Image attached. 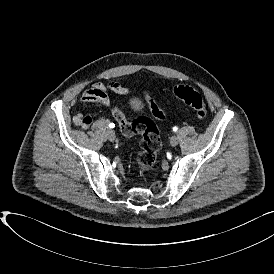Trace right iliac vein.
Listing matches in <instances>:
<instances>
[{
  "mask_svg": "<svg viewBox=\"0 0 274 274\" xmlns=\"http://www.w3.org/2000/svg\"><path fill=\"white\" fill-rule=\"evenodd\" d=\"M107 137L110 141H114L116 138L115 132L113 130H109L107 132Z\"/></svg>",
  "mask_w": 274,
  "mask_h": 274,
  "instance_id": "obj_1",
  "label": "right iliac vein"
}]
</instances>
